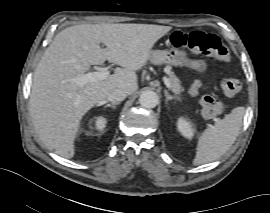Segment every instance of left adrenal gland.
Here are the masks:
<instances>
[{
    "mask_svg": "<svg viewBox=\"0 0 270 213\" xmlns=\"http://www.w3.org/2000/svg\"><path fill=\"white\" fill-rule=\"evenodd\" d=\"M165 97H166V104L168 103L169 100H173L175 97L170 95L167 90L164 91Z\"/></svg>",
    "mask_w": 270,
    "mask_h": 213,
    "instance_id": "left-adrenal-gland-1",
    "label": "left adrenal gland"
}]
</instances>
